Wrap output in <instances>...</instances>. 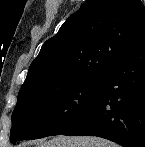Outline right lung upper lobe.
<instances>
[{"instance_id":"right-lung-upper-lobe-1","label":"right lung upper lobe","mask_w":145,"mask_h":147,"mask_svg":"<svg viewBox=\"0 0 145 147\" xmlns=\"http://www.w3.org/2000/svg\"><path fill=\"white\" fill-rule=\"evenodd\" d=\"M145 39L140 0H87L31 63L18 95L50 92L91 74H103Z\"/></svg>"}]
</instances>
